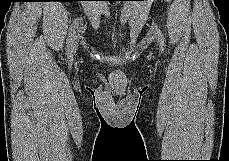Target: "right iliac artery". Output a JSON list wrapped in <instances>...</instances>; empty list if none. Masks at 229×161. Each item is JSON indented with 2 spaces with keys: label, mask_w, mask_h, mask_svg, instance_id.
<instances>
[{
  "label": "right iliac artery",
  "mask_w": 229,
  "mask_h": 161,
  "mask_svg": "<svg viewBox=\"0 0 229 161\" xmlns=\"http://www.w3.org/2000/svg\"><path fill=\"white\" fill-rule=\"evenodd\" d=\"M78 26H79V19L77 18L73 21V23L71 25L68 39H67L66 54L69 58L71 57V50H72V46H73V42L75 39V35H76V31L78 29Z\"/></svg>",
  "instance_id": "obj_1"
}]
</instances>
